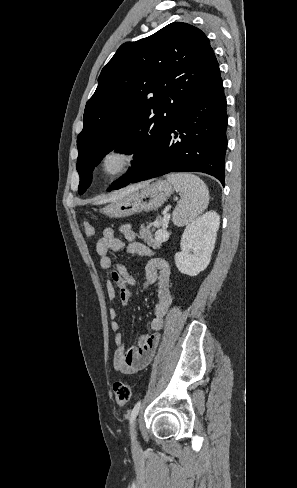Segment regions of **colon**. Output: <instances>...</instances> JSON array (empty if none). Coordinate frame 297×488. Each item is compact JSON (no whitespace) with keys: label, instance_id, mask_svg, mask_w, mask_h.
Returning a JSON list of instances; mask_svg holds the SVG:
<instances>
[{"label":"colon","instance_id":"1","mask_svg":"<svg viewBox=\"0 0 297 488\" xmlns=\"http://www.w3.org/2000/svg\"><path fill=\"white\" fill-rule=\"evenodd\" d=\"M84 231L88 237H93L95 234L94 227L89 223H86L84 225ZM113 392L117 404L120 406H124L130 401L133 389L132 386L128 383L116 382L113 385Z\"/></svg>","mask_w":297,"mask_h":488}]
</instances>
